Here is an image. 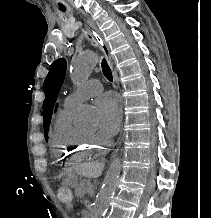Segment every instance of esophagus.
Returning <instances> with one entry per match:
<instances>
[{"label": "esophagus", "mask_w": 211, "mask_h": 218, "mask_svg": "<svg viewBox=\"0 0 211 218\" xmlns=\"http://www.w3.org/2000/svg\"><path fill=\"white\" fill-rule=\"evenodd\" d=\"M87 30L90 33L91 37L95 40V42L99 45L101 50L103 51L106 60L108 62V65L110 66L111 70H113V60L109 51V47L107 43L105 42L100 30H98L97 26L93 23H88L87 25ZM114 81H117L116 76L114 75ZM123 99L120 98V117L121 121L123 119ZM116 137H121L122 133L121 132H116L115 133ZM115 144L118 142L116 139L113 141ZM109 150H116V145H109Z\"/></svg>", "instance_id": "obj_1"}]
</instances>
